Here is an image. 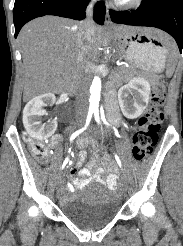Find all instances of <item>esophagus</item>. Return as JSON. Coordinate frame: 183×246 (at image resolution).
<instances>
[{"label": "esophagus", "instance_id": "34e87169", "mask_svg": "<svg viewBox=\"0 0 183 246\" xmlns=\"http://www.w3.org/2000/svg\"><path fill=\"white\" fill-rule=\"evenodd\" d=\"M105 24H106L107 26H111V25H112V22H111V19H110L109 6H108V5H107V7H106Z\"/></svg>", "mask_w": 183, "mask_h": 246}]
</instances>
